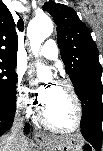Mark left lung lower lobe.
I'll return each mask as SVG.
<instances>
[{"instance_id": "1", "label": "left lung lower lobe", "mask_w": 103, "mask_h": 151, "mask_svg": "<svg viewBox=\"0 0 103 151\" xmlns=\"http://www.w3.org/2000/svg\"><path fill=\"white\" fill-rule=\"evenodd\" d=\"M101 76L102 71L89 72L75 88L77 95L82 101V135L96 151L101 150L103 136V86Z\"/></svg>"}]
</instances>
